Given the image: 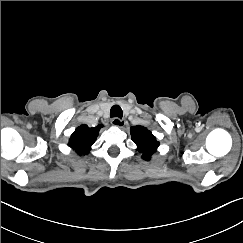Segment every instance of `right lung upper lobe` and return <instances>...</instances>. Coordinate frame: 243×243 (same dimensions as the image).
<instances>
[{"mask_svg":"<svg viewBox=\"0 0 243 243\" xmlns=\"http://www.w3.org/2000/svg\"><path fill=\"white\" fill-rule=\"evenodd\" d=\"M101 127L102 125H98L97 127L89 128L85 124L77 127L69 139L68 146L75 150L79 155L88 154Z\"/></svg>","mask_w":243,"mask_h":243,"instance_id":"right-lung-upper-lobe-1","label":"right lung upper lobe"}]
</instances>
